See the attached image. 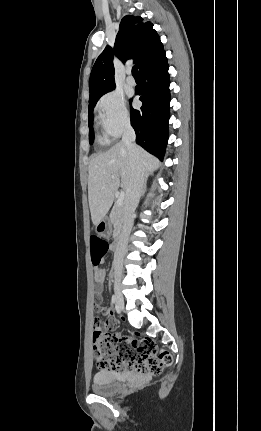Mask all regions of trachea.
I'll return each instance as SVG.
<instances>
[{"label":"trachea","instance_id":"1","mask_svg":"<svg viewBox=\"0 0 261 431\" xmlns=\"http://www.w3.org/2000/svg\"><path fill=\"white\" fill-rule=\"evenodd\" d=\"M132 75L133 76H139V72L136 66L132 67Z\"/></svg>","mask_w":261,"mask_h":431}]
</instances>
